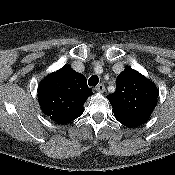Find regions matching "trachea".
Wrapping results in <instances>:
<instances>
[{
	"instance_id": "obj_1",
	"label": "trachea",
	"mask_w": 175,
	"mask_h": 175,
	"mask_svg": "<svg viewBox=\"0 0 175 175\" xmlns=\"http://www.w3.org/2000/svg\"><path fill=\"white\" fill-rule=\"evenodd\" d=\"M99 83V78L97 75H92L89 80H88V84L89 86H97V84Z\"/></svg>"
}]
</instances>
